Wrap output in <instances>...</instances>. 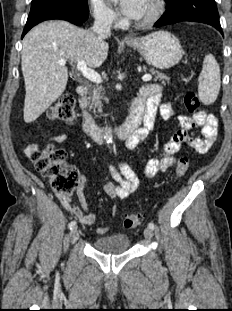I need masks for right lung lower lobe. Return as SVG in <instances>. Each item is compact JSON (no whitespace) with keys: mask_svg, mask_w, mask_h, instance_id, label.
I'll return each mask as SVG.
<instances>
[{"mask_svg":"<svg viewBox=\"0 0 232 311\" xmlns=\"http://www.w3.org/2000/svg\"><path fill=\"white\" fill-rule=\"evenodd\" d=\"M88 18V13L79 11L76 8L61 5H44L31 8L23 36L36 24L51 19L69 21L75 25H81Z\"/></svg>","mask_w":232,"mask_h":311,"instance_id":"98d812e1","label":"right lung lower lobe"}]
</instances>
